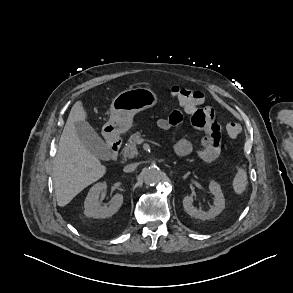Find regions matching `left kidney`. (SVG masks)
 <instances>
[{"label":"left kidney","instance_id":"left-kidney-1","mask_svg":"<svg viewBox=\"0 0 293 293\" xmlns=\"http://www.w3.org/2000/svg\"><path fill=\"white\" fill-rule=\"evenodd\" d=\"M209 190L214 195V205L208 210H198L193 206V197L190 195H186L183 199V207L187 214L191 217L208 220L213 219L218 216L225 208V199L222 193L220 185L215 181H210Z\"/></svg>","mask_w":293,"mask_h":293}]
</instances>
